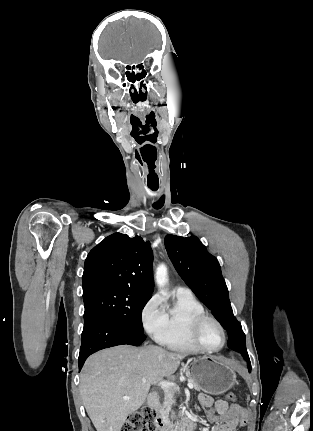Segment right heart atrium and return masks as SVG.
<instances>
[{
  "instance_id": "d8ad5b80",
  "label": "right heart atrium",
  "mask_w": 313,
  "mask_h": 431,
  "mask_svg": "<svg viewBox=\"0 0 313 431\" xmlns=\"http://www.w3.org/2000/svg\"><path fill=\"white\" fill-rule=\"evenodd\" d=\"M141 321L144 329L158 340L166 325L165 308L160 295H153L145 303L141 311Z\"/></svg>"
}]
</instances>
